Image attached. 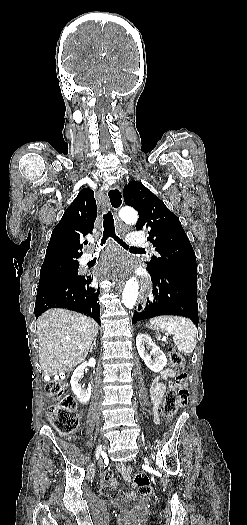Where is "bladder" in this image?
Listing matches in <instances>:
<instances>
[{"instance_id": "bladder-1", "label": "bladder", "mask_w": 247, "mask_h": 525, "mask_svg": "<svg viewBox=\"0 0 247 525\" xmlns=\"http://www.w3.org/2000/svg\"><path fill=\"white\" fill-rule=\"evenodd\" d=\"M113 506L120 510L122 513H130L133 510H138L147 506V501L141 497L135 499H118L113 503Z\"/></svg>"}]
</instances>
